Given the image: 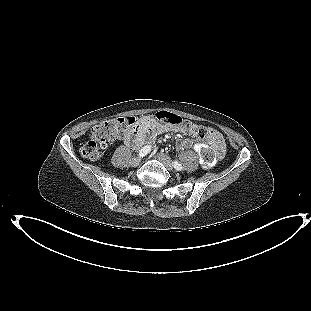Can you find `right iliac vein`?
Wrapping results in <instances>:
<instances>
[{
  "label": "right iliac vein",
  "instance_id": "1",
  "mask_svg": "<svg viewBox=\"0 0 311 311\" xmlns=\"http://www.w3.org/2000/svg\"><path fill=\"white\" fill-rule=\"evenodd\" d=\"M141 158L140 157H135L131 160V166L136 167L140 164Z\"/></svg>",
  "mask_w": 311,
  "mask_h": 311
}]
</instances>
